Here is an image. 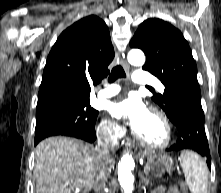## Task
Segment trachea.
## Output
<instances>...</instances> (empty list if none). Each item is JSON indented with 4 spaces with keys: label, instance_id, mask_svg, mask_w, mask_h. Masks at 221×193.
<instances>
[{
    "label": "trachea",
    "instance_id": "trachea-1",
    "mask_svg": "<svg viewBox=\"0 0 221 193\" xmlns=\"http://www.w3.org/2000/svg\"><path fill=\"white\" fill-rule=\"evenodd\" d=\"M122 77H126L125 71L120 65H117L112 69L111 74L109 75V78H108V82L112 83L118 78H122ZM148 88L152 89L151 87H148Z\"/></svg>",
    "mask_w": 221,
    "mask_h": 193
}]
</instances>
